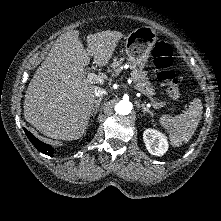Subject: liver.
I'll return each mask as SVG.
<instances>
[{
    "label": "liver",
    "mask_w": 221,
    "mask_h": 221,
    "mask_svg": "<svg viewBox=\"0 0 221 221\" xmlns=\"http://www.w3.org/2000/svg\"><path fill=\"white\" fill-rule=\"evenodd\" d=\"M124 34L102 31L87 36L86 50L79 31L61 35L31 79L24 98V118L44 135L77 140L86 131L96 104L94 83L85 77V66H106ZM106 80V75L100 76Z\"/></svg>",
    "instance_id": "1"
}]
</instances>
